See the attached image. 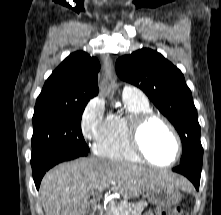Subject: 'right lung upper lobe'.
Segmentation results:
<instances>
[{"label":"right lung upper lobe","instance_id":"1","mask_svg":"<svg viewBox=\"0 0 221 215\" xmlns=\"http://www.w3.org/2000/svg\"><path fill=\"white\" fill-rule=\"evenodd\" d=\"M100 63L86 52L70 54L46 80L36 104L88 103L98 94Z\"/></svg>","mask_w":221,"mask_h":215}]
</instances>
